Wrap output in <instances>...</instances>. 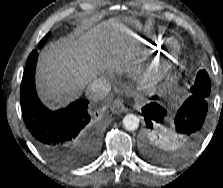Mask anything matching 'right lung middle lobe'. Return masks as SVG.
Instances as JSON below:
<instances>
[{"mask_svg":"<svg viewBox=\"0 0 223 188\" xmlns=\"http://www.w3.org/2000/svg\"><path fill=\"white\" fill-rule=\"evenodd\" d=\"M50 33H48L42 40L41 42L39 43V48L43 47L45 42H46V39L49 37Z\"/></svg>","mask_w":223,"mask_h":188,"instance_id":"right-lung-middle-lobe-1","label":"right lung middle lobe"}]
</instances>
